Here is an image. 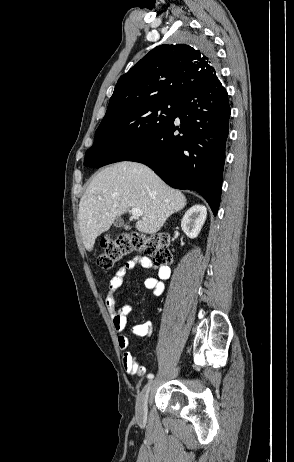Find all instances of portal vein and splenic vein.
Listing matches in <instances>:
<instances>
[{"label":"portal vein and splenic vein","mask_w":294,"mask_h":462,"mask_svg":"<svg viewBox=\"0 0 294 462\" xmlns=\"http://www.w3.org/2000/svg\"><path fill=\"white\" fill-rule=\"evenodd\" d=\"M130 213L132 214L133 217L135 218H139V217H142L143 216V213L141 210L137 209V208H132L130 210Z\"/></svg>","instance_id":"18ae733b"}]
</instances>
